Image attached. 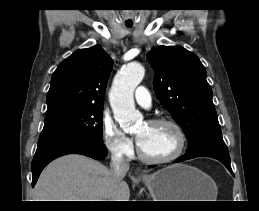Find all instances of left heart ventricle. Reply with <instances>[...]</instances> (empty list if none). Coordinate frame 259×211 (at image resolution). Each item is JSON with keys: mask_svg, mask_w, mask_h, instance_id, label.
Returning <instances> with one entry per match:
<instances>
[{"mask_svg": "<svg viewBox=\"0 0 259 211\" xmlns=\"http://www.w3.org/2000/svg\"><path fill=\"white\" fill-rule=\"evenodd\" d=\"M136 135L143 152L151 157H163L171 154L176 147V135L168 125L141 124Z\"/></svg>", "mask_w": 259, "mask_h": 211, "instance_id": "left-heart-ventricle-1", "label": "left heart ventricle"}]
</instances>
